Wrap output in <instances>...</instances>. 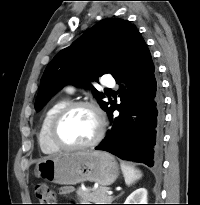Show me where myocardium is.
Instances as JSON below:
<instances>
[{
	"label": "myocardium",
	"instance_id": "1",
	"mask_svg": "<svg viewBox=\"0 0 200 205\" xmlns=\"http://www.w3.org/2000/svg\"><path fill=\"white\" fill-rule=\"evenodd\" d=\"M78 108H86L93 112L97 120V133L92 140L80 145H67L63 143L58 136V129L64 118L73 110ZM106 123L103 113L94 103L89 101H72L68 102L60 111L55 115L51 127L50 138L53 144L59 149L64 151H76L92 148L98 145L105 135Z\"/></svg>",
	"mask_w": 200,
	"mask_h": 205
}]
</instances>
